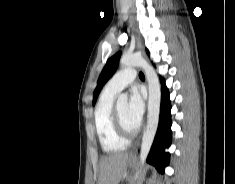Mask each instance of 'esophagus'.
Returning a JSON list of instances; mask_svg holds the SVG:
<instances>
[{"instance_id":"1","label":"esophagus","mask_w":235,"mask_h":184,"mask_svg":"<svg viewBox=\"0 0 235 184\" xmlns=\"http://www.w3.org/2000/svg\"><path fill=\"white\" fill-rule=\"evenodd\" d=\"M129 23H130V28L132 30V33L135 37V44H136V47L137 49H139L140 45H141V39H140V34H139V31H138V28H137V25L135 23V19L133 17L132 14H130L129 16Z\"/></svg>"}]
</instances>
